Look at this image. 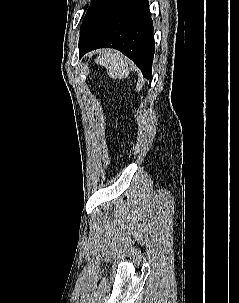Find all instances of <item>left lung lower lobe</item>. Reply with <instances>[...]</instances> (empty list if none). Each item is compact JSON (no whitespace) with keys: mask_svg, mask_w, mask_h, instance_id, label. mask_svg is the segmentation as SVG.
Here are the masks:
<instances>
[{"mask_svg":"<svg viewBox=\"0 0 239 303\" xmlns=\"http://www.w3.org/2000/svg\"><path fill=\"white\" fill-rule=\"evenodd\" d=\"M115 48L152 78L153 23L147 0H117L99 25L83 40L79 54L98 48Z\"/></svg>","mask_w":239,"mask_h":303,"instance_id":"1","label":"left lung lower lobe"}]
</instances>
